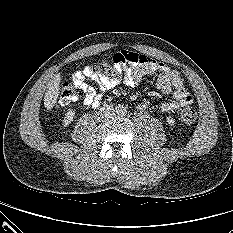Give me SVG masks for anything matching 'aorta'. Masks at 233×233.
Returning <instances> with one entry per match:
<instances>
[{
  "label": "aorta",
  "instance_id": "1",
  "mask_svg": "<svg viewBox=\"0 0 233 233\" xmlns=\"http://www.w3.org/2000/svg\"><path fill=\"white\" fill-rule=\"evenodd\" d=\"M116 111H117V114H120V115L125 113V109L123 107H118Z\"/></svg>",
  "mask_w": 233,
  "mask_h": 233
}]
</instances>
